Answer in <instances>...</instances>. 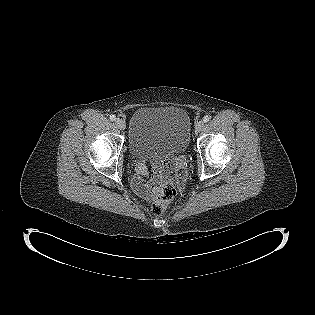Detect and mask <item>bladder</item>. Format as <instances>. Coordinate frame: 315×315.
<instances>
[{"instance_id":"bladder-1","label":"bladder","mask_w":315,"mask_h":315,"mask_svg":"<svg viewBox=\"0 0 315 315\" xmlns=\"http://www.w3.org/2000/svg\"><path fill=\"white\" fill-rule=\"evenodd\" d=\"M191 122L179 107H142L130 121L128 146L138 159L184 152L190 143Z\"/></svg>"}]
</instances>
